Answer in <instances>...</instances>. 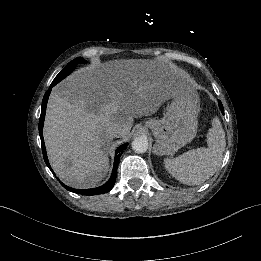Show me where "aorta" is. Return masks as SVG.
I'll use <instances>...</instances> for the list:
<instances>
[{
  "instance_id": "obj_1",
  "label": "aorta",
  "mask_w": 261,
  "mask_h": 261,
  "mask_svg": "<svg viewBox=\"0 0 261 261\" xmlns=\"http://www.w3.org/2000/svg\"><path fill=\"white\" fill-rule=\"evenodd\" d=\"M148 146L149 144L146 136L136 137L131 143L133 151L138 154L145 153L148 150Z\"/></svg>"
}]
</instances>
